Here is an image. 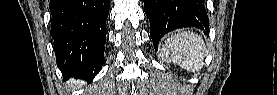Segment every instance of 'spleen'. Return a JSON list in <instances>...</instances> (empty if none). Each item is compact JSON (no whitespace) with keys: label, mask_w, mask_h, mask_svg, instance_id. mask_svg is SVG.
<instances>
[{"label":"spleen","mask_w":277,"mask_h":95,"mask_svg":"<svg viewBox=\"0 0 277 95\" xmlns=\"http://www.w3.org/2000/svg\"><path fill=\"white\" fill-rule=\"evenodd\" d=\"M205 54L206 46L201 36L187 31L168 38L161 50L162 60L174 62L190 72L202 69Z\"/></svg>","instance_id":"spleen-1"}]
</instances>
